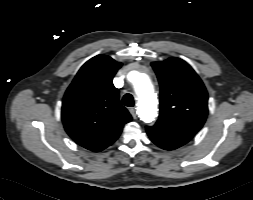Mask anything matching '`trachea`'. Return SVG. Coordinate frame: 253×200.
<instances>
[{
    "label": "trachea",
    "mask_w": 253,
    "mask_h": 200,
    "mask_svg": "<svg viewBox=\"0 0 253 200\" xmlns=\"http://www.w3.org/2000/svg\"><path fill=\"white\" fill-rule=\"evenodd\" d=\"M122 104L127 107L134 106V98L131 94H125L122 98Z\"/></svg>",
    "instance_id": "obj_1"
}]
</instances>
